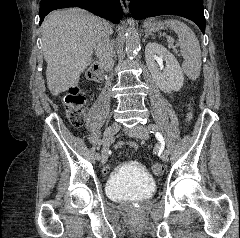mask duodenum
Instances as JSON below:
<instances>
[{
	"label": "duodenum",
	"instance_id": "obj_1",
	"mask_svg": "<svg viewBox=\"0 0 240 238\" xmlns=\"http://www.w3.org/2000/svg\"><path fill=\"white\" fill-rule=\"evenodd\" d=\"M92 67H98L100 69L98 64H94Z\"/></svg>",
	"mask_w": 240,
	"mask_h": 238
}]
</instances>
